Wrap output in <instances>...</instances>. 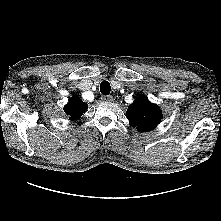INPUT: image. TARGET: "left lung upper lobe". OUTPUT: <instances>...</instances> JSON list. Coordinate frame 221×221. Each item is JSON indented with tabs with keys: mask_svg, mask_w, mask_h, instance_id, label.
Masks as SVG:
<instances>
[{
	"mask_svg": "<svg viewBox=\"0 0 221 221\" xmlns=\"http://www.w3.org/2000/svg\"><path fill=\"white\" fill-rule=\"evenodd\" d=\"M126 114L130 125L140 132L155 129L162 117L158 105L150 103L144 96L137 97Z\"/></svg>",
	"mask_w": 221,
	"mask_h": 221,
	"instance_id": "1",
	"label": "left lung upper lobe"
}]
</instances>
